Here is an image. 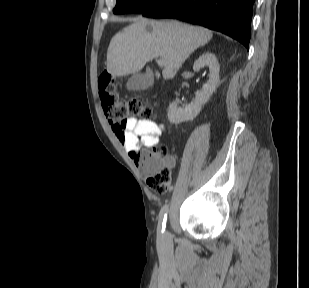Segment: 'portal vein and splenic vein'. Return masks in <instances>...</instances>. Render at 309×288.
Masks as SVG:
<instances>
[{"label":"portal vein and splenic vein","mask_w":309,"mask_h":288,"mask_svg":"<svg viewBox=\"0 0 309 288\" xmlns=\"http://www.w3.org/2000/svg\"><path fill=\"white\" fill-rule=\"evenodd\" d=\"M157 64L159 66H164L165 65V60L163 58H159V59H157Z\"/></svg>","instance_id":"1"}]
</instances>
